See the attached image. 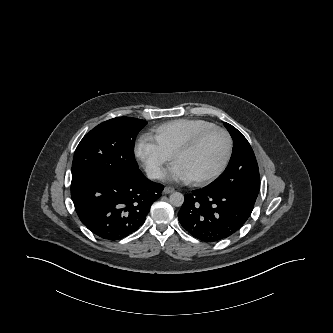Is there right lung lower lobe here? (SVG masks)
Returning a JSON list of instances; mask_svg holds the SVG:
<instances>
[{"instance_id":"right-lung-lower-lobe-1","label":"right lung lower lobe","mask_w":333,"mask_h":333,"mask_svg":"<svg viewBox=\"0 0 333 333\" xmlns=\"http://www.w3.org/2000/svg\"><path fill=\"white\" fill-rule=\"evenodd\" d=\"M163 185L138 169L126 178L94 175L71 183V197L81 222L96 236L123 239L139 229Z\"/></svg>"}]
</instances>
